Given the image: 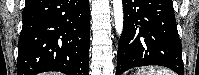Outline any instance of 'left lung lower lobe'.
I'll list each match as a JSON object with an SVG mask.
<instances>
[{
	"mask_svg": "<svg viewBox=\"0 0 199 75\" xmlns=\"http://www.w3.org/2000/svg\"><path fill=\"white\" fill-rule=\"evenodd\" d=\"M122 4L124 25L116 75L147 65L165 66L184 75L172 0H122Z\"/></svg>",
	"mask_w": 199,
	"mask_h": 75,
	"instance_id": "1",
	"label": "left lung lower lobe"
}]
</instances>
